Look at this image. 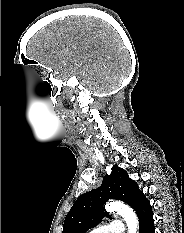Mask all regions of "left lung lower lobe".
Listing matches in <instances>:
<instances>
[{"instance_id":"left-lung-lower-lobe-1","label":"left lung lower lobe","mask_w":184,"mask_h":233,"mask_svg":"<svg viewBox=\"0 0 184 233\" xmlns=\"http://www.w3.org/2000/svg\"><path fill=\"white\" fill-rule=\"evenodd\" d=\"M133 209L139 218V233H154V219L151 205L145 196H142Z\"/></svg>"}]
</instances>
